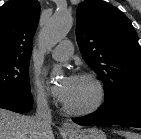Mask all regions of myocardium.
<instances>
[{"mask_svg":"<svg viewBox=\"0 0 141 139\" xmlns=\"http://www.w3.org/2000/svg\"><path fill=\"white\" fill-rule=\"evenodd\" d=\"M74 78L85 79V80L90 81L96 89V98L90 105L86 107L73 108L64 103L63 109L68 114L76 115V116L89 115V114H92L98 111L104 105L105 100H106L107 94H106V88L104 86V83L95 74L90 73V72L77 73L74 75Z\"/></svg>","mask_w":141,"mask_h":139,"instance_id":"obj_1","label":"myocardium"}]
</instances>
